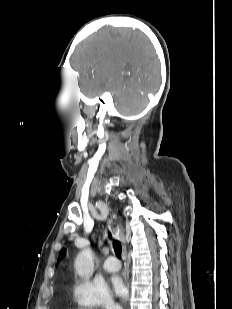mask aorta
Instances as JSON below:
<instances>
[{"label": "aorta", "mask_w": 232, "mask_h": 309, "mask_svg": "<svg viewBox=\"0 0 232 309\" xmlns=\"http://www.w3.org/2000/svg\"><path fill=\"white\" fill-rule=\"evenodd\" d=\"M94 255L91 249H84L79 252L75 267L79 276L86 277L92 274L94 269Z\"/></svg>", "instance_id": "762f6f07"}]
</instances>
